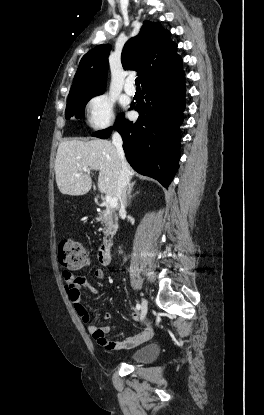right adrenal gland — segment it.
Masks as SVG:
<instances>
[{"instance_id":"2a0ac1e0","label":"right adrenal gland","mask_w":264,"mask_h":415,"mask_svg":"<svg viewBox=\"0 0 264 415\" xmlns=\"http://www.w3.org/2000/svg\"><path fill=\"white\" fill-rule=\"evenodd\" d=\"M134 184H135V182H132L128 186V191H127V204L128 205L130 204L131 199L135 196V194L133 196L131 195ZM136 194H138V192Z\"/></svg>"}]
</instances>
